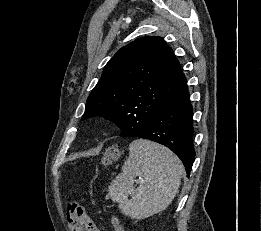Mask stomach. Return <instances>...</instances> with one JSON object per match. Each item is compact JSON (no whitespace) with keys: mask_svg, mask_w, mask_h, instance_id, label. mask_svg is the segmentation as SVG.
Returning a JSON list of instances; mask_svg holds the SVG:
<instances>
[{"mask_svg":"<svg viewBox=\"0 0 261 231\" xmlns=\"http://www.w3.org/2000/svg\"><path fill=\"white\" fill-rule=\"evenodd\" d=\"M120 155L121 152L118 149V147H110L104 153V156L102 158V164L105 166L112 164L113 162L119 159Z\"/></svg>","mask_w":261,"mask_h":231,"instance_id":"1","label":"stomach"}]
</instances>
